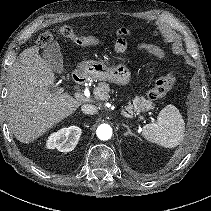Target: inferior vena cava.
I'll list each match as a JSON object with an SVG mask.
<instances>
[{
    "label": "inferior vena cava",
    "mask_w": 211,
    "mask_h": 211,
    "mask_svg": "<svg viewBox=\"0 0 211 211\" xmlns=\"http://www.w3.org/2000/svg\"><path fill=\"white\" fill-rule=\"evenodd\" d=\"M81 110L83 113L90 114V115H93V114L97 113V111H98L96 106L90 105V104L82 105Z\"/></svg>",
    "instance_id": "inferior-vena-cava-1"
}]
</instances>
